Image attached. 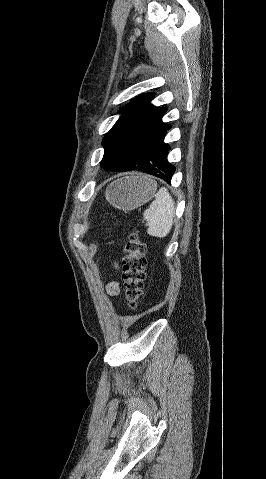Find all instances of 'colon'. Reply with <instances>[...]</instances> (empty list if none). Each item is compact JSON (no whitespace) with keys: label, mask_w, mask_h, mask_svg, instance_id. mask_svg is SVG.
Listing matches in <instances>:
<instances>
[{"label":"colon","mask_w":266,"mask_h":479,"mask_svg":"<svg viewBox=\"0 0 266 479\" xmlns=\"http://www.w3.org/2000/svg\"><path fill=\"white\" fill-rule=\"evenodd\" d=\"M123 251V291L127 303L134 308L144 290L146 245L139 235L133 234L124 242Z\"/></svg>","instance_id":"obj_1"}]
</instances>
